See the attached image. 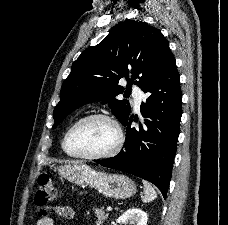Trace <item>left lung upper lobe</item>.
Returning <instances> with one entry per match:
<instances>
[{
	"mask_svg": "<svg viewBox=\"0 0 228 225\" xmlns=\"http://www.w3.org/2000/svg\"><path fill=\"white\" fill-rule=\"evenodd\" d=\"M171 55L168 41L159 29L134 20L118 23L102 42L86 49L73 63L53 112V128L78 106L96 100L108 104L124 123L131 112L130 104L115 97L125 95L133 83L140 88L149 84ZM122 77L128 80L126 91L118 85Z\"/></svg>",
	"mask_w": 228,
	"mask_h": 225,
	"instance_id": "1",
	"label": "left lung upper lobe"
}]
</instances>
